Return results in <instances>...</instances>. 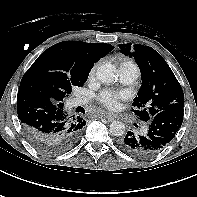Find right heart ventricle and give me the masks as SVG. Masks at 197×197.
I'll return each instance as SVG.
<instances>
[{
	"instance_id": "right-heart-ventricle-1",
	"label": "right heart ventricle",
	"mask_w": 197,
	"mask_h": 197,
	"mask_svg": "<svg viewBox=\"0 0 197 197\" xmlns=\"http://www.w3.org/2000/svg\"><path fill=\"white\" fill-rule=\"evenodd\" d=\"M124 65H131V66L137 67V66L135 65V63H133L131 60H123V61L121 62V64H120V67H121V66H124Z\"/></svg>"
}]
</instances>
